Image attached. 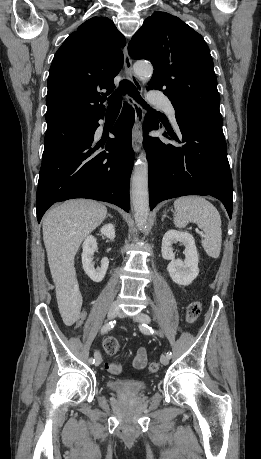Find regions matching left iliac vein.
<instances>
[{
	"instance_id": "4c4485c4",
	"label": "left iliac vein",
	"mask_w": 261,
	"mask_h": 459,
	"mask_svg": "<svg viewBox=\"0 0 261 459\" xmlns=\"http://www.w3.org/2000/svg\"><path fill=\"white\" fill-rule=\"evenodd\" d=\"M119 316L120 317H125L126 315L122 312L119 313ZM131 318L139 323H144V324H148L150 323L151 321V318L145 314V313H138L136 315H133L131 316ZM160 362L163 364V365H167L169 363V357L167 355H161L160 357Z\"/></svg>"
}]
</instances>
